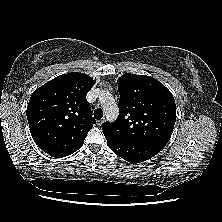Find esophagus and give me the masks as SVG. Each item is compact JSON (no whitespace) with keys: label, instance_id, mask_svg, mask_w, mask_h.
I'll use <instances>...</instances> for the list:
<instances>
[{"label":"esophagus","instance_id":"esophagus-1","mask_svg":"<svg viewBox=\"0 0 222 222\" xmlns=\"http://www.w3.org/2000/svg\"><path fill=\"white\" fill-rule=\"evenodd\" d=\"M103 122H104V119H100V120L97 121V125L101 126L103 124Z\"/></svg>","mask_w":222,"mask_h":222}]
</instances>
